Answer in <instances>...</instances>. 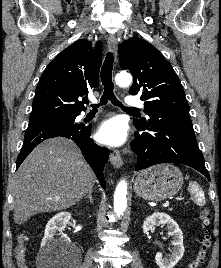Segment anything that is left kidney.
Segmentation results:
<instances>
[{
  "mask_svg": "<svg viewBox=\"0 0 221 268\" xmlns=\"http://www.w3.org/2000/svg\"><path fill=\"white\" fill-rule=\"evenodd\" d=\"M158 225H166L168 234L173 236L174 248L169 259L163 258L162 253L157 252L155 255L156 263L160 268H173L184 254L183 233L178 224L166 213H153L147 217L142 226L143 232L148 233Z\"/></svg>",
  "mask_w": 221,
  "mask_h": 268,
  "instance_id": "1",
  "label": "left kidney"
}]
</instances>
